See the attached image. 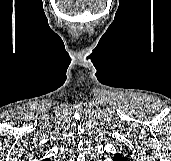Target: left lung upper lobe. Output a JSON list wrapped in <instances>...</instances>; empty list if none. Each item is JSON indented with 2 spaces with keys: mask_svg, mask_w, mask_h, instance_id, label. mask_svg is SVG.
<instances>
[{
  "mask_svg": "<svg viewBox=\"0 0 171 161\" xmlns=\"http://www.w3.org/2000/svg\"><path fill=\"white\" fill-rule=\"evenodd\" d=\"M115 156H120V157L128 158L127 156H124L121 153H117Z\"/></svg>",
  "mask_w": 171,
  "mask_h": 161,
  "instance_id": "left-lung-upper-lobe-1",
  "label": "left lung upper lobe"
}]
</instances>
